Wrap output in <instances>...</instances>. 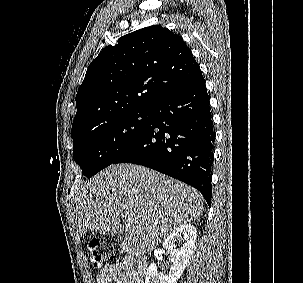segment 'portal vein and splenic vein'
Instances as JSON below:
<instances>
[{
  "instance_id": "1",
  "label": "portal vein and splenic vein",
  "mask_w": 303,
  "mask_h": 283,
  "mask_svg": "<svg viewBox=\"0 0 303 283\" xmlns=\"http://www.w3.org/2000/svg\"><path fill=\"white\" fill-rule=\"evenodd\" d=\"M126 221H127L128 225H130L132 222V220L130 218H127Z\"/></svg>"
}]
</instances>
